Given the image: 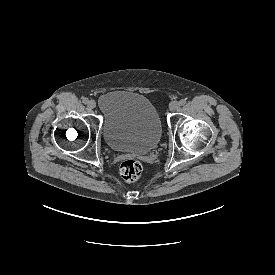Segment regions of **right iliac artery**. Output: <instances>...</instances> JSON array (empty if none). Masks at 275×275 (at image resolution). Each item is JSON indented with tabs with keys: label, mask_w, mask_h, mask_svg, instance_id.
<instances>
[{
	"label": "right iliac artery",
	"mask_w": 275,
	"mask_h": 275,
	"mask_svg": "<svg viewBox=\"0 0 275 275\" xmlns=\"http://www.w3.org/2000/svg\"><path fill=\"white\" fill-rule=\"evenodd\" d=\"M82 101H83V103H84V104H88L89 99H88V98H86V97H84V98L82 99Z\"/></svg>",
	"instance_id": "1"
}]
</instances>
